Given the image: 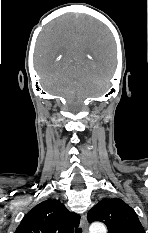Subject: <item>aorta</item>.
I'll return each instance as SVG.
<instances>
[{"mask_svg": "<svg viewBox=\"0 0 148 233\" xmlns=\"http://www.w3.org/2000/svg\"><path fill=\"white\" fill-rule=\"evenodd\" d=\"M90 233H107L106 226L101 222L92 223L89 228Z\"/></svg>", "mask_w": 148, "mask_h": 233, "instance_id": "aorta-1", "label": "aorta"}]
</instances>
